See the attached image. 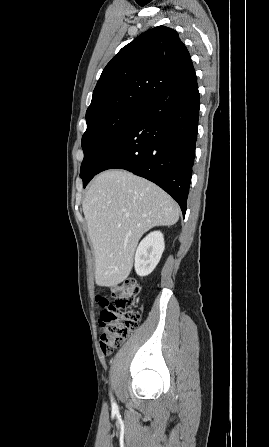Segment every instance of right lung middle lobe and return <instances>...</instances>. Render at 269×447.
I'll return each mask as SVG.
<instances>
[{
    "mask_svg": "<svg viewBox=\"0 0 269 447\" xmlns=\"http://www.w3.org/2000/svg\"><path fill=\"white\" fill-rule=\"evenodd\" d=\"M143 111V104L125 106L87 120V130L82 137L84 159L80 177L89 176V169L109 145Z\"/></svg>",
    "mask_w": 269,
    "mask_h": 447,
    "instance_id": "dd1d6c3e",
    "label": "right lung middle lobe"
}]
</instances>
